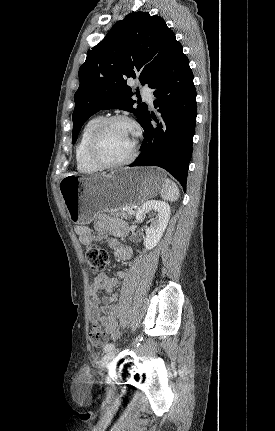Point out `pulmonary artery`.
Listing matches in <instances>:
<instances>
[{
  "mask_svg": "<svg viewBox=\"0 0 275 431\" xmlns=\"http://www.w3.org/2000/svg\"><path fill=\"white\" fill-rule=\"evenodd\" d=\"M143 97L145 100L150 104L153 105V95L151 93V90L147 87L142 88L141 90Z\"/></svg>",
  "mask_w": 275,
  "mask_h": 431,
  "instance_id": "obj_1",
  "label": "pulmonary artery"
}]
</instances>
